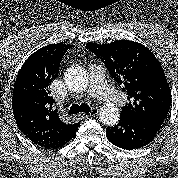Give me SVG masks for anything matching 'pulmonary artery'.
Instances as JSON below:
<instances>
[{"instance_id": "pulmonary-artery-1", "label": "pulmonary artery", "mask_w": 178, "mask_h": 178, "mask_svg": "<svg viewBox=\"0 0 178 178\" xmlns=\"http://www.w3.org/2000/svg\"><path fill=\"white\" fill-rule=\"evenodd\" d=\"M89 69L90 85L88 94L90 96L102 99L108 103L115 105L123 102V95L107 83L103 70L100 66L92 64Z\"/></svg>"}]
</instances>
